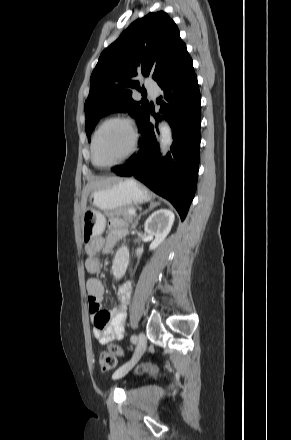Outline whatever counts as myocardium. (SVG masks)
I'll return each instance as SVG.
<instances>
[{"label":"myocardium","mask_w":291,"mask_h":440,"mask_svg":"<svg viewBox=\"0 0 291 440\" xmlns=\"http://www.w3.org/2000/svg\"><path fill=\"white\" fill-rule=\"evenodd\" d=\"M112 123H121L128 129V131L131 135L130 148H129L128 152L126 153V155L122 159L115 161V162H112V163L99 164V163H97V161L95 159L96 140H97V137H98L99 133L101 132V130L104 127H106L107 125L112 124ZM137 145H138V133H137V130H136L135 125L132 122V120L129 119L128 117L121 116V115L111 116V117L105 119L104 121H102L93 133L92 142H91L92 163L99 168H113V167L119 166V165L123 164L124 162H126L129 158L132 157V155L135 153V151L137 149Z\"/></svg>","instance_id":"obj_1"}]
</instances>
